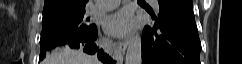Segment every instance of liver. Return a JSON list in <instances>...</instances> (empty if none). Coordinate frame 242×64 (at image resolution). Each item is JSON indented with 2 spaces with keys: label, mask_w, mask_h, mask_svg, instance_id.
Instances as JSON below:
<instances>
[{
  "label": "liver",
  "mask_w": 242,
  "mask_h": 64,
  "mask_svg": "<svg viewBox=\"0 0 242 64\" xmlns=\"http://www.w3.org/2000/svg\"><path fill=\"white\" fill-rule=\"evenodd\" d=\"M42 64H101L94 57L81 50H73L68 47L58 48L48 54Z\"/></svg>",
  "instance_id": "6515ba94"
}]
</instances>
